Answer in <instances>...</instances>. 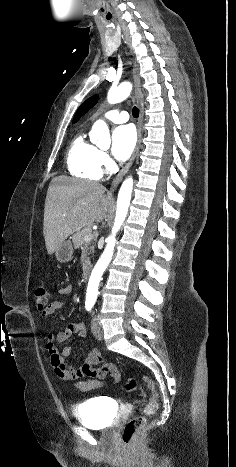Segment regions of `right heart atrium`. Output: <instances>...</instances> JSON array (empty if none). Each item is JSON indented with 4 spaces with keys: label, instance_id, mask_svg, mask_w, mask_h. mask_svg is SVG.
<instances>
[{
    "label": "right heart atrium",
    "instance_id": "right-heart-atrium-1",
    "mask_svg": "<svg viewBox=\"0 0 236 467\" xmlns=\"http://www.w3.org/2000/svg\"><path fill=\"white\" fill-rule=\"evenodd\" d=\"M98 162L101 168L109 169L112 166V161L108 154L104 151H99L98 153Z\"/></svg>",
    "mask_w": 236,
    "mask_h": 467
}]
</instances>
